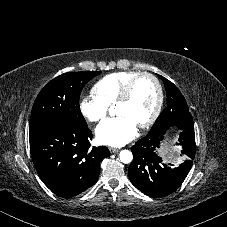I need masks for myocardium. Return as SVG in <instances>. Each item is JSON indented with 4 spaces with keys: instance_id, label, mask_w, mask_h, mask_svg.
<instances>
[{
    "instance_id": "obj_1",
    "label": "myocardium",
    "mask_w": 227,
    "mask_h": 227,
    "mask_svg": "<svg viewBox=\"0 0 227 227\" xmlns=\"http://www.w3.org/2000/svg\"><path fill=\"white\" fill-rule=\"evenodd\" d=\"M142 77L150 78L153 81V83L156 87V91H157V101H156V105H155V108H154L151 116L145 122H143L142 124H140L138 126L141 129H145V128L150 127L157 120V118L160 114V111H161V108L163 105V99H164L162 85H161L159 79L154 74H152L150 72H140V73H137L134 77H132L128 81V83L125 85L122 93L116 100L115 106L126 103L130 99L136 82Z\"/></svg>"
}]
</instances>
